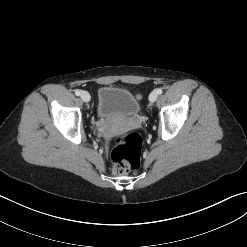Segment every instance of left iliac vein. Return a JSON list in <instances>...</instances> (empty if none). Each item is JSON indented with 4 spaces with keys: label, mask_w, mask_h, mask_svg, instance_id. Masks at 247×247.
Segmentation results:
<instances>
[{
    "label": "left iliac vein",
    "mask_w": 247,
    "mask_h": 247,
    "mask_svg": "<svg viewBox=\"0 0 247 247\" xmlns=\"http://www.w3.org/2000/svg\"><path fill=\"white\" fill-rule=\"evenodd\" d=\"M158 94L156 91H152L149 95V101L154 103L157 100Z\"/></svg>",
    "instance_id": "4c4485c4"
}]
</instances>
